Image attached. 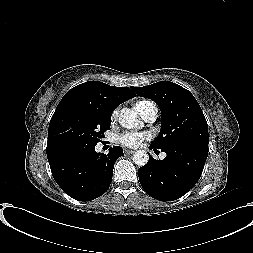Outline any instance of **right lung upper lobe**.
Instances as JSON below:
<instances>
[{
  "label": "right lung upper lobe",
  "mask_w": 253,
  "mask_h": 253,
  "mask_svg": "<svg viewBox=\"0 0 253 253\" xmlns=\"http://www.w3.org/2000/svg\"><path fill=\"white\" fill-rule=\"evenodd\" d=\"M135 96L129 87H114L99 81H88L70 89L59 104L78 101L113 112L119 104Z\"/></svg>",
  "instance_id": "1"
}]
</instances>
